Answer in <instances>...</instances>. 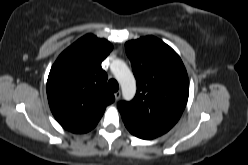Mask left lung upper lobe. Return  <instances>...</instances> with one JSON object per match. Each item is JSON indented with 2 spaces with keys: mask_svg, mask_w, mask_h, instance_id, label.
<instances>
[{
  "mask_svg": "<svg viewBox=\"0 0 248 165\" xmlns=\"http://www.w3.org/2000/svg\"><path fill=\"white\" fill-rule=\"evenodd\" d=\"M126 53L137 81L135 98L119 102L121 115L140 126L166 133L182 115L189 95L179 55L153 36L128 41Z\"/></svg>",
  "mask_w": 248,
  "mask_h": 165,
  "instance_id": "left-lung-upper-lobe-1",
  "label": "left lung upper lobe"
}]
</instances>
